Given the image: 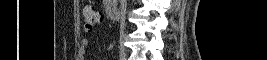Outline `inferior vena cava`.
<instances>
[{
  "instance_id": "1",
  "label": "inferior vena cava",
  "mask_w": 267,
  "mask_h": 60,
  "mask_svg": "<svg viewBox=\"0 0 267 60\" xmlns=\"http://www.w3.org/2000/svg\"><path fill=\"white\" fill-rule=\"evenodd\" d=\"M126 2V0H121L122 3V8H121V19H120V27L121 30L124 29V24H125V7L123 6V4Z\"/></svg>"
}]
</instances>
